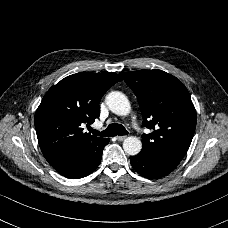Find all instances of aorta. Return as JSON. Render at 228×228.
<instances>
[{
	"label": "aorta",
	"mask_w": 228,
	"mask_h": 228,
	"mask_svg": "<svg viewBox=\"0 0 228 228\" xmlns=\"http://www.w3.org/2000/svg\"><path fill=\"white\" fill-rule=\"evenodd\" d=\"M105 102L109 110L115 114L125 115L130 110L129 100L124 93L119 91L109 92L105 97ZM141 148V141L137 137H127L123 142V149L130 156L137 155Z\"/></svg>",
	"instance_id": "762f6f07"
}]
</instances>
